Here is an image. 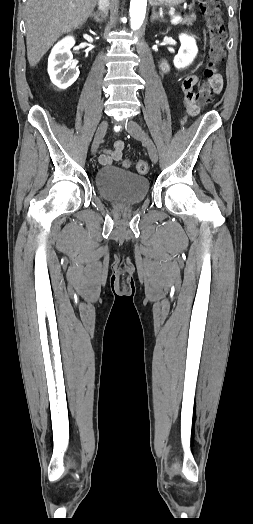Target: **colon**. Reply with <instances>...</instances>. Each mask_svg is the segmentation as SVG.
Wrapping results in <instances>:
<instances>
[{"instance_id": "5ec220e1", "label": "colon", "mask_w": 253, "mask_h": 524, "mask_svg": "<svg viewBox=\"0 0 253 524\" xmlns=\"http://www.w3.org/2000/svg\"><path fill=\"white\" fill-rule=\"evenodd\" d=\"M201 12L206 19V27L209 35V50L207 64L204 69V76L211 79L219 63L225 55V28L218 12L217 0H198ZM213 97V90L209 83H203L197 91L198 103L207 104ZM187 110V109H186ZM128 166L129 162H125ZM136 170L140 174L148 171V164L145 161L136 163Z\"/></svg>"}]
</instances>
